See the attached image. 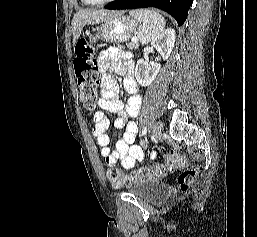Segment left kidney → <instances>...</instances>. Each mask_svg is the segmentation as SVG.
<instances>
[{
  "mask_svg": "<svg viewBox=\"0 0 257 237\" xmlns=\"http://www.w3.org/2000/svg\"><path fill=\"white\" fill-rule=\"evenodd\" d=\"M176 34L174 29H167L161 32L152 42V48H155L162 56L163 60L169 58L175 44ZM161 65L155 62H149L147 59H139L135 67V77L141 86H149L160 71Z\"/></svg>",
  "mask_w": 257,
  "mask_h": 237,
  "instance_id": "5707ae66",
  "label": "left kidney"
}]
</instances>
